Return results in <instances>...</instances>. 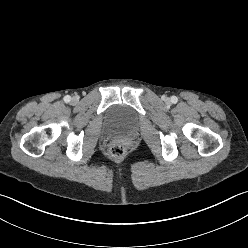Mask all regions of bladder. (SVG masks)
<instances>
[{"label": "bladder", "mask_w": 248, "mask_h": 248, "mask_svg": "<svg viewBox=\"0 0 248 248\" xmlns=\"http://www.w3.org/2000/svg\"><path fill=\"white\" fill-rule=\"evenodd\" d=\"M136 114L124 105H114L105 114V126L110 131H122L135 127Z\"/></svg>", "instance_id": "1"}]
</instances>
